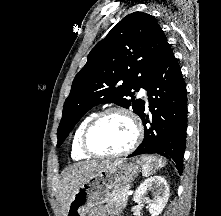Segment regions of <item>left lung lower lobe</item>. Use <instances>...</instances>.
Here are the masks:
<instances>
[{"label":"left lung lower lobe","instance_id":"obj_1","mask_svg":"<svg viewBox=\"0 0 221 216\" xmlns=\"http://www.w3.org/2000/svg\"><path fill=\"white\" fill-rule=\"evenodd\" d=\"M150 115H140L144 140L128 157L160 154L183 169L186 145L187 91L180 67L168 44L153 69L147 86ZM149 124V126H146Z\"/></svg>","mask_w":221,"mask_h":216}]
</instances>
